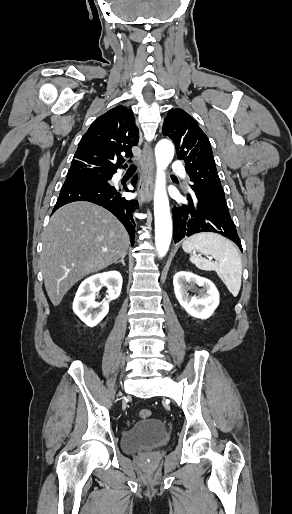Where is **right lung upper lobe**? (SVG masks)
Wrapping results in <instances>:
<instances>
[{"mask_svg": "<svg viewBox=\"0 0 292 514\" xmlns=\"http://www.w3.org/2000/svg\"><path fill=\"white\" fill-rule=\"evenodd\" d=\"M139 130L132 111L117 106L97 118L82 136L68 174L113 175L122 165V154L132 157Z\"/></svg>", "mask_w": 292, "mask_h": 514, "instance_id": "obj_1", "label": "right lung upper lobe"}]
</instances>
